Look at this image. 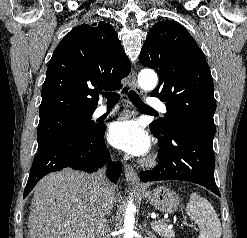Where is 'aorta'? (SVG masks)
<instances>
[{
	"instance_id": "aorta-1",
	"label": "aorta",
	"mask_w": 247,
	"mask_h": 238,
	"mask_svg": "<svg viewBox=\"0 0 247 238\" xmlns=\"http://www.w3.org/2000/svg\"><path fill=\"white\" fill-rule=\"evenodd\" d=\"M138 83L142 89L150 91L157 86L158 78L154 71L145 69L139 73ZM135 210L136 207L133 204L132 200L129 201L124 218L123 238H134Z\"/></svg>"
}]
</instances>
